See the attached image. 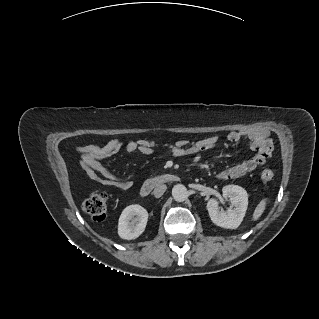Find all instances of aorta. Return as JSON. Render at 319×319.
Returning <instances> with one entry per match:
<instances>
[{
	"mask_svg": "<svg viewBox=\"0 0 319 319\" xmlns=\"http://www.w3.org/2000/svg\"><path fill=\"white\" fill-rule=\"evenodd\" d=\"M172 196L175 201L183 202L188 198V190L182 184H176L172 189Z\"/></svg>",
	"mask_w": 319,
	"mask_h": 319,
	"instance_id": "aorta-1",
	"label": "aorta"
}]
</instances>
